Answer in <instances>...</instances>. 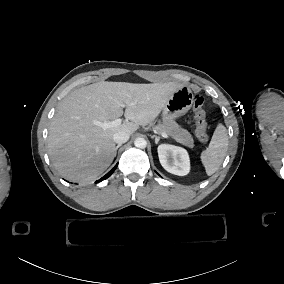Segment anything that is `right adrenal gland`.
<instances>
[{
  "label": "right adrenal gland",
  "instance_id": "obj_1",
  "mask_svg": "<svg viewBox=\"0 0 284 284\" xmlns=\"http://www.w3.org/2000/svg\"><path fill=\"white\" fill-rule=\"evenodd\" d=\"M121 146H122V144H118V145L116 146L115 151H114V157H115L116 154H117L118 148H120Z\"/></svg>",
  "mask_w": 284,
  "mask_h": 284
}]
</instances>
